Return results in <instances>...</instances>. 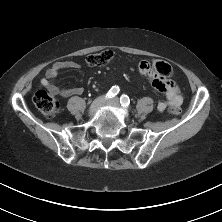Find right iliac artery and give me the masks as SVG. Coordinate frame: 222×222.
Masks as SVG:
<instances>
[{
  "label": "right iliac artery",
  "mask_w": 222,
  "mask_h": 222,
  "mask_svg": "<svg viewBox=\"0 0 222 222\" xmlns=\"http://www.w3.org/2000/svg\"><path fill=\"white\" fill-rule=\"evenodd\" d=\"M119 87L118 86H113L109 92L107 93L106 97L108 96V98H112L115 97L118 93H119Z\"/></svg>",
  "instance_id": "right-iliac-artery-1"
}]
</instances>
